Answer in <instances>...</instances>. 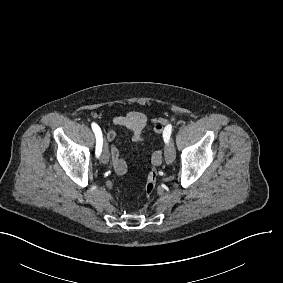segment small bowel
I'll list each match as a JSON object with an SVG mask.
<instances>
[{
  "mask_svg": "<svg viewBox=\"0 0 283 283\" xmlns=\"http://www.w3.org/2000/svg\"><path fill=\"white\" fill-rule=\"evenodd\" d=\"M114 125L124 128L129 131L134 141H142L144 138L145 129L149 124V117L140 111H130L126 114L114 116L112 119ZM153 130L157 135L164 133V126L161 121L154 123ZM117 137L115 130H109L106 134L107 140L111 143L110 158L114 172L117 175H124L126 173L127 164L126 161L121 157L118 147L113 143ZM153 155V154H152ZM152 163L155 166H160V162Z\"/></svg>",
  "mask_w": 283,
  "mask_h": 283,
  "instance_id": "obj_1",
  "label": "small bowel"
}]
</instances>
